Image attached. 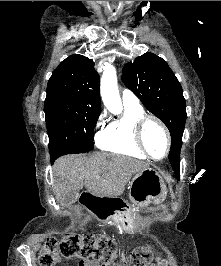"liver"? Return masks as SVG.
<instances>
[{
  "label": "liver",
  "mask_w": 221,
  "mask_h": 266,
  "mask_svg": "<svg viewBox=\"0 0 221 266\" xmlns=\"http://www.w3.org/2000/svg\"><path fill=\"white\" fill-rule=\"evenodd\" d=\"M148 167V163L124 155L70 154L60 157L53 165V190L58 200L68 191H79L84 186L100 194H115L116 198L123 194L132 175Z\"/></svg>",
  "instance_id": "1"
}]
</instances>
